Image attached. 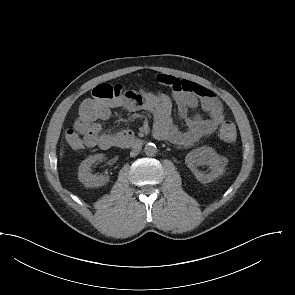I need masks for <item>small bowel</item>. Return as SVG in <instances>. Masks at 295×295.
Masks as SVG:
<instances>
[{
	"mask_svg": "<svg viewBox=\"0 0 295 295\" xmlns=\"http://www.w3.org/2000/svg\"><path fill=\"white\" fill-rule=\"evenodd\" d=\"M157 79L160 84L172 90L173 101L186 125L185 130H181L173 121V104L168 95L154 91H127L113 101L96 104L88 112L80 110L74 125L66 131L69 146L74 150L84 147L107 150L114 147L116 139L121 134L130 132L123 131L118 134L103 132L100 121L109 119L113 108L149 111L154 116V136L179 147H191L197 144L203 137L215 132L224 122L222 105L208 88L167 74H160ZM199 105L208 117L203 118L200 115L189 117V110Z\"/></svg>",
	"mask_w": 295,
	"mask_h": 295,
	"instance_id": "1",
	"label": "small bowel"
}]
</instances>
